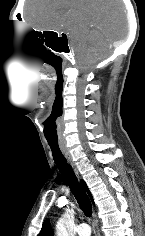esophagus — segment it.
<instances>
[{"mask_svg":"<svg viewBox=\"0 0 145 236\" xmlns=\"http://www.w3.org/2000/svg\"><path fill=\"white\" fill-rule=\"evenodd\" d=\"M60 149H61L62 153L64 154L65 158L67 159V161L69 162V164L71 165V167L73 168V170L75 171V173L78 175V169L72 159V156H71L68 148L66 147V145L64 143H60ZM97 236H100L99 230H97Z\"/></svg>","mask_w":145,"mask_h":236,"instance_id":"34e87169","label":"esophagus"}]
</instances>
